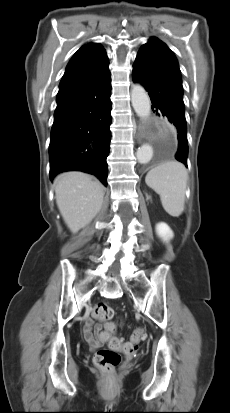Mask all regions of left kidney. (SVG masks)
Returning <instances> with one entry per match:
<instances>
[{
  "instance_id": "left-kidney-1",
  "label": "left kidney",
  "mask_w": 230,
  "mask_h": 413,
  "mask_svg": "<svg viewBox=\"0 0 230 413\" xmlns=\"http://www.w3.org/2000/svg\"><path fill=\"white\" fill-rule=\"evenodd\" d=\"M156 232L158 236L161 237L164 241L170 240L174 236L173 231L164 222L158 223L156 225Z\"/></svg>"
}]
</instances>
